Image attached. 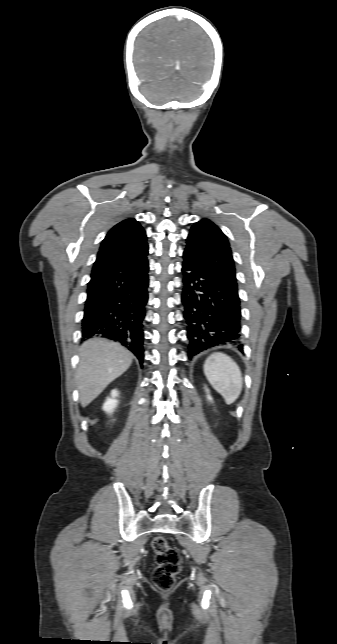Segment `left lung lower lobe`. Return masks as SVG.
Instances as JSON below:
<instances>
[{
	"label": "left lung lower lobe",
	"instance_id": "1",
	"mask_svg": "<svg viewBox=\"0 0 337 644\" xmlns=\"http://www.w3.org/2000/svg\"><path fill=\"white\" fill-rule=\"evenodd\" d=\"M183 257L181 299L188 357L220 345H237L242 351L238 292L207 264L188 254Z\"/></svg>",
	"mask_w": 337,
	"mask_h": 644
}]
</instances>
